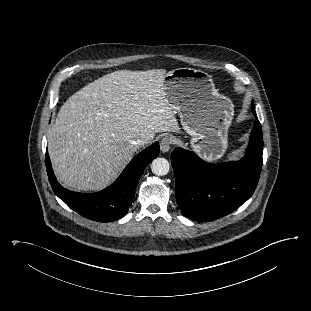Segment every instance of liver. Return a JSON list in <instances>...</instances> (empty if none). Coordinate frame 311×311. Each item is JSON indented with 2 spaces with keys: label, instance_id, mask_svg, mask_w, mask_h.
<instances>
[{
  "label": "liver",
  "instance_id": "obj_1",
  "mask_svg": "<svg viewBox=\"0 0 311 311\" xmlns=\"http://www.w3.org/2000/svg\"><path fill=\"white\" fill-rule=\"evenodd\" d=\"M164 69L119 70L73 94L48 131V152L57 179L76 191L106 187L131 159V140L180 132L164 91ZM143 144V145H144Z\"/></svg>",
  "mask_w": 311,
  "mask_h": 311
}]
</instances>
